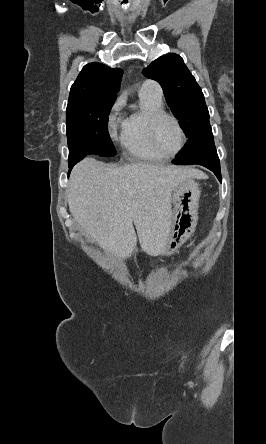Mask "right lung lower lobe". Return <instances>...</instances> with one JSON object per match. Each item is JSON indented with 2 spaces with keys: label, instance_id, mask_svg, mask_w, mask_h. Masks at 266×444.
Masks as SVG:
<instances>
[{
  "label": "right lung lower lobe",
  "instance_id": "98d812e1",
  "mask_svg": "<svg viewBox=\"0 0 266 444\" xmlns=\"http://www.w3.org/2000/svg\"><path fill=\"white\" fill-rule=\"evenodd\" d=\"M75 164H76V163H71V164H69V174H70L71 169L74 167Z\"/></svg>",
  "mask_w": 266,
  "mask_h": 444
}]
</instances>
